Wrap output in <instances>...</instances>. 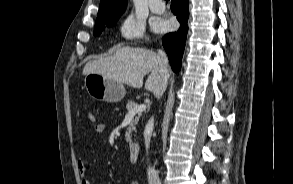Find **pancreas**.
I'll list each match as a JSON object with an SVG mask.
<instances>
[{
    "instance_id": "1",
    "label": "pancreas",
    "mask_w": 293,
    "mask_h": 184,
    "mask_svg": "<svg viewBox=\"0 0 293 184\" xmlns=\"http://www.w3.org/2000/svg\"><path fill=\"white\" fill-rule=\"evenodd\" d=\"M137 106V103L133 102V101H128L126 108L128 111H131L132 109H134ZM140 117V112L138 113V115L131 121L129 127L127 128V132H126V141L128 143H131V133L132 131L136 130V124L138 123Z\"/></svg>"
}]
</instances>
